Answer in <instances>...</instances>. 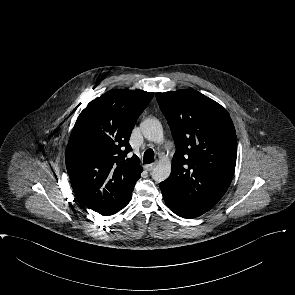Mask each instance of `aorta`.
I'll return each mask as SVG.
<instances>
[{
  "label": "aorta",
  "instance_id": "aorta-1",
  "mask_svg": "<svg viewBox=\"0 0 295 295\" xmlns=\"http://www.w3.org/2000/svg\"><path fill=\"white\" fill-rule=\"evenodd\" d=\"M143 136L154 143L163 141V128L160 121L156 118H149L140 124ZM171 173V162L169 160L159 161L153 168L151 175L153 180L160 183L166 180Z\"/></svg>",
  "mask_w": 295,
  "mask_h": 295
}]
</instances>
